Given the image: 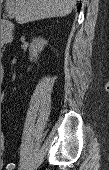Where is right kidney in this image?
Masks as SVG:
<instances>
[{"mask_svg": "<svg viewBox=\"0 0 109 170\" xmlns=\"http://www.w3.org/2000/svg\"><path fill=\"white\" fill-rule=\"evenodd\" d=\"M47 44V41L42 38H36L32 41L29 47L30 52V61L37 60L38 55L44 48V45Z\"/></svg>", "mask_w": 109, "mask_h": 170, "instance_id": "right-kidney-1", "label": "right kidney"}]
</instances>
